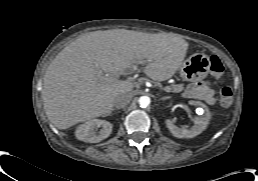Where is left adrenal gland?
<instances>
[{
	"label": "left adrenal gland",
	"mask_w": 258,
	"mask_h": 181,
	"mask_svg": "<svg viewBox=\"0 0 258 181\" xmlns=\"http://www.w3.org/2000/svg\"><path fill=\"white\" fill-rule=\"evenodd\" d=\"M171 97L170 96H167V97H163L161 98L162 101H166V100H169Z\"/></svg>",
	"instance_id": "obj_1"
}]
</instances>
